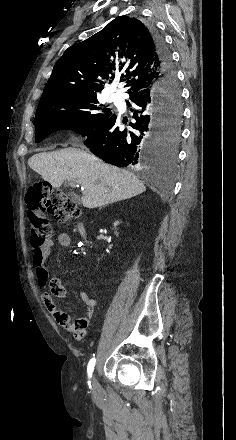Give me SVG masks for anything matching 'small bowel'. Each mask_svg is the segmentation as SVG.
I'll return each instance as SVG.
<instances>
[{
  "label": "small bowel",
  "mask_w": 236,
  "mask_h": 440,
  "mask_svg": "<svg viewBox=\"0 0 236 440\" xmlns=\"http://www.w3.org/2000/svg\"><path fill=\"white\" fill-rule=\"evenodd\" d=\"M57 242L62 247H68L71 244V236L68 233L62 232L58 234ZM53 245V240H47L41 246L35 247L32 254V263L35 267L38 283L45 290L41 296L42 302L51 316L59 323L60 330H67L77 339H82L86 334V330L90 328L88 320L97 302L96 299L89 296L87 291H81L80 299L86 306V313L81 315L77 321H61L70 318L66 312L58 308L53 296L65 298L67 295L66 287L57 275L52 276L48 280V271L44 267V263L50 255Z\"/></svg>",
  "instance_id": "small-bowel-1"
}]
</instances>
